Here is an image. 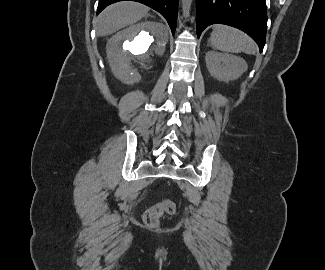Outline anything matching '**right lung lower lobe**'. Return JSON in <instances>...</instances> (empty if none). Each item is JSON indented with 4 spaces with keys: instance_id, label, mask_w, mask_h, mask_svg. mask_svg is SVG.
I'll list each match as a JSON object with an SVG mask.
<instances>
[{
    "instance_id": "1",
    "label": "right lung lower lobe",
    "mask_w": 325,
    "mask_h": 270,
    "mask_svg": "<svg viewBox=\"0 0 325 270\" xmlns=\"http://www.w3.org/2000/svg\"><path fill=\"white\" fill-rule=\"evenodd\" d=\"M122 0H99L97 13H100L108 5ZM143 3L161 13L167 20L174 35L177 22L179 0H132Z\"/></svg>"
}]
</instances>
